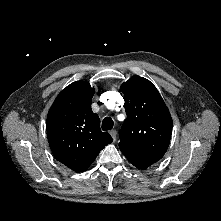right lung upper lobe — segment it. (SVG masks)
<instances>
[{"label":"right lung upper lobe","mask_w":221,"mask_h":221,"mask_svg":"<svg viewBox=\"0 0 221 221\" xmlns=\"http://www.w3.org/2000/svg\"><path fill=\"white\" fill-rule=\"evenodd\" d=\"M94 88L76 81L61 91L47 116V137L55 158L75 172L85 171L112 137L102 132L91 109Z\"/></svg>","instance_id":"right-lung-upper-lobe-1"}]
</instances>
